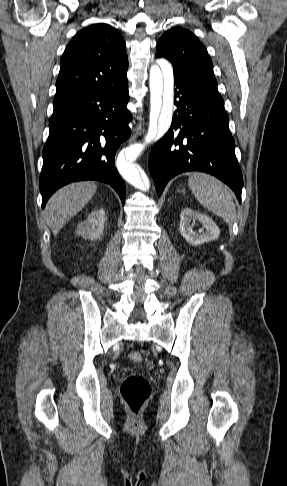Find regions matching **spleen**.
<instances>
[{
  "label": "spleen",
  "mask_w": 287,
  "mask_h": 486,
  "mask_svg": "<svg viewBox=\"0 0 287 486\" xmlns=\"http://www.w3.org/2000/svg\"><path fill=\"white\" fill-rule=\"evenodd\" d=\"M188 185L199 203L212 213L232 224L236 216V206L228 187L217 178L195 172L188 179Z\"/></svg>",
  "instance_id": "3e777b00"
}]
</instances>
